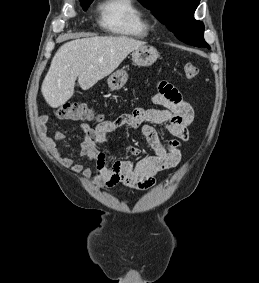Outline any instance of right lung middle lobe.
Here are the masks:
<instances>
[{
  "label": "right lung middle lobe",
  "instance_id": "1",
  "mask_svg": "<svg viewBox=\"0 0 259 283\" xmlns=\"http://www.w3.org/2000/svg\"><path fill=\"white\" fill-rule=\"evenodd\" d=\"M94 0H80L82 8L86 10Z\"/></svg>",
  "mask_w": 259,
  "mask_h": 283
}]
</instances>
